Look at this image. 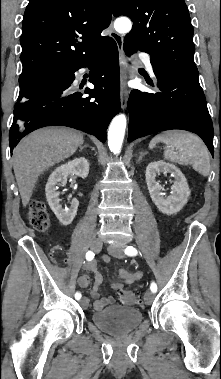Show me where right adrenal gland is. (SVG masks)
I'll return each instance as SVG.
<instances>
[{
	"label": "right adrenal gland",
	"instance_id": "2a0ac1e0",
	"mask_svg": "<svg viewBox=\"0 0 221 379\" xmlns=\"http://www.w3.org/2000/svg\"><path fill=\"white\" fill-rule=\"evenodd\" d=\"M86 147H88V145L87 144H85L84 146H80V149H79V151H82L84 148H86Z\"/></svg>",
	"mask_w": 221,
	"mask_h": 379
}]
</instances>
